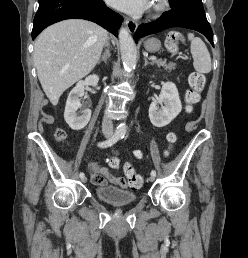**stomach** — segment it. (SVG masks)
<instances>
[{
  "label": "stomach",
  "instance_id": "obj_1",
  "mask_svg": "<svg viewBox=\"0 0 248 258\" xmlns=\"http://www.w3.org/2000/svg\"><path fill=\"white\" fill-rule=\"evenodd\" d=\"M144 48L150 53L158 52L161 48V42L157 38L147 39L144 43Z\"/></svg>",
  "mask_w": 248,
  "mask_h": 258
}]
</instances>
